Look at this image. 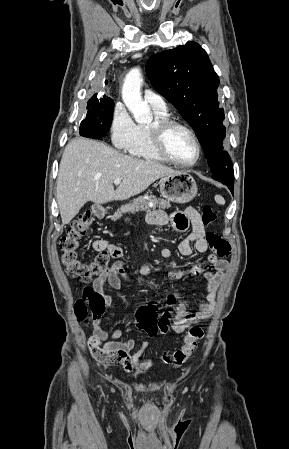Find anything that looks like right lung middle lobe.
I'll list each match as a JSON object with an SVG mask.
<instances>
[{
    "label": "right lung middle lobe",
    "mask_w": 289,
    "mask_h": 449,
    "mask_svg": "<svg viewBox=\"0 0 289 449\" xmlns=\"http://www.w3.org/2000/svg\"><path fill=\"white\" fill-rule=\"evenodd\" d=\"M86 119L81 122L80 135L101 139L110 129L113 119L114 101L92 97L88 101Z\"/></svg>",
    "instance_id": "dd1d6c3e"
}]
</instances>
